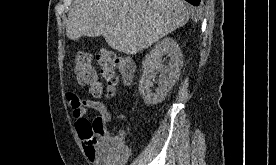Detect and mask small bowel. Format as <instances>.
I'll list each match as a JSON object with an SVG mask.
<instances>
[{"label": "small bowel", "instance_id": "1", "mask_svg": "<svg viewBox=\"0 0 276 165\" xmlns=\"http://www.w3.org/2000/svg\"><path fill=\"white\" fill-rule=\"evenodd\" d=\"M66 100L71 109L77 130L78 122L82 118H86L89 110L97 113L93 121V123L99 124L101 127L97 143L91 147L81 138L85 153L93 165H123L129 154V150L125 146L126 134L123 130L117 131L116 134H111L107 124L111 122L112 116L105 104L100 101L81 99L72 92L66 94ZM110 142L117 144L116 150L110 149Z\"/></svg>", "mask_w": 276, "mask_h": 165}]
</instances>
